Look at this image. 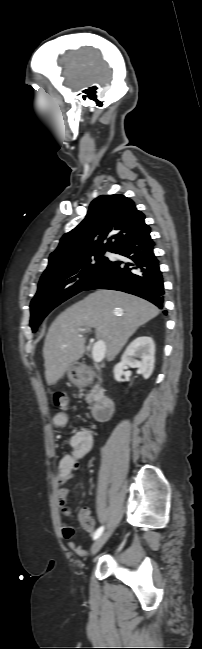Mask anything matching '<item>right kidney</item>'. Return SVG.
<instances>
[{
    "mask_svg": "<svg viewBox=\"0 0 202 649\" xmlns=\"http://www.w3.org/2000/svg\"><path fill=\"white\" fill-rule=\"evenodd\" d=\"M155 344L151 337L138 336L126 348L121 361L115 365L113 373L116 381L121 377L127 367L138 368V373L148 379L154 369Z\"/></svg>",
    "mask_w": 202,
    "mask_h": 649,
    "instance_id": "ca27d5eb",
    "label": "right kidney"
}]
</instances>
